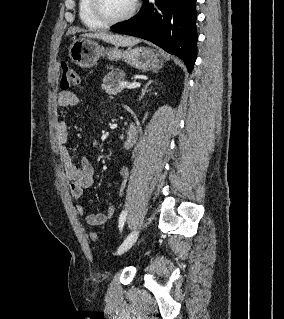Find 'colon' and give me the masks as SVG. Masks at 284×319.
Returning <instances> with one entry per match:
<instances>
[{
  "mask_svg": "<svg viewBox=\"0 0 284 319\" xmlns=\"http://www.w3.org/2000/svg\"><path fill=\"white\" fill-rule=\"evenodd\" d=\"M80 82L78 73L63 63L61 66L60 89L62 92H67L70 88L77 86ZM90 239L94 242L98 241V235L95 232L90 233Z\"/></svg>",
  "mask_w": 284,
  "mask_h": 319,
  "instance_id": "obj_1",
  "label": "colon"
}]
</instances>
